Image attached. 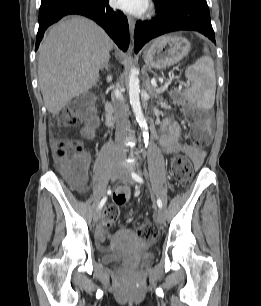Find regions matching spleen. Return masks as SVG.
I'll return each mask as SVG.
<instances>
[{
  "label": "spleen",
  "mask_w": 261,
  "mask_h": 306,
  "mask_svg": "<svg viewBox=\"0 0 261 306\" xmlns=\"http://www.w3.org/2000/svg\"><path fill=\"white\" fill-rule=\"evenodd\" d=\"M204 52L208 53L207 48ZM191 87L186 89L187 99L203 109H211L215 102L216 77L214 63L210 56L205 55L187 67L185 71Z\"/></svg>",
  "instance_id": "obj_1"
}]
</instances>
